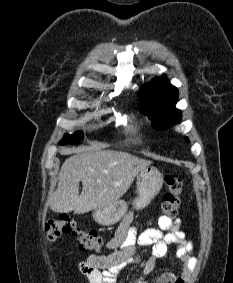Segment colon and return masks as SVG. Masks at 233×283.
Returning <instances> with one entry per match:
<instances>
[{"mask_svg": "<svg viewBox=\"0 0 233 283\" xmlns=\"http://www.w3.org/2000/svg\"><path fill=\"white\" fill-rule=\"evenodd\" d=\"M165 185L166 191L161 204L162 216L172 218L176 216L180 206L182 182L176 176L166 175ZM45 233L50 242L60 239L63 235H72L83 250L99 251L104 244V240L96 231L81 228L68 215L49 219L45 224Z\"/></svg>", "mask_w": 233, "mask_h": 283, "instance_id": "colon-1", "label": "colon"}]
</instances>
